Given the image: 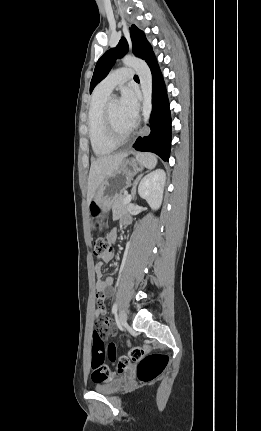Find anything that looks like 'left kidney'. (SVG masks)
<instances>
[{
	"instance_id": "left-kidney-1",
	"label": "left kidney",
	"mask_w": 261,
	"mask_h": 431,
	"mask_svg": "<svg viewBox=\"0 0 261 431\" xmlns=\"http://www.w3.org/2000/svg\"><path fill=\"white\" fill-rule=\"evenodd\" d=\"M165 179L164 170L157 169L146 175L139 184L140 197L145 199L153 210H157L161 206Z\"/></svg>"
}]
</instances>
